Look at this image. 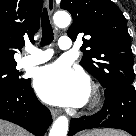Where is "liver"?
Segmentation results:
<instances>
[{"label":"liver","mask_w":136,"mask_h":136,"mask_svg":"<svg viewBox=\"0 0 136 136\" xmlns=\"http://www.w3.org/2000/svg\"><path fill=\"white\" fill-rule=\"evenodd\" d=\"M0 136H30V134L17 125L0 120Z\"/></svg>","instance_id":"6515ba94"}]
</instances>
